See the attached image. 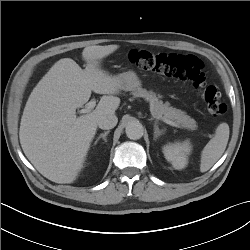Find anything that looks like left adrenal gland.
I'll use <instances>...</instances> for the list:
<instances>
[{"label": "left adrenal gland", "mask_w": 250, "mask_h": 250, "mask_svg": "<svg viewBox=\"0 0 250 250\" xmlns=\"http://www.w3.org/2000/svg\"><path fill=\"white\" fill-rule=\"evenodd\" d=\"M164 132L165 130L164 129L160 130L157 123L155 122L154 123V140H157V138L161 136L162 134H164Z\"/></svg>", "instance_id": "obj_1"}]
</instances>
